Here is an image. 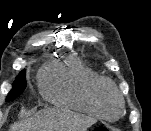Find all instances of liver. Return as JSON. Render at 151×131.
Returning a JSON list of instances; mask_svg holds the SVG:
<instances>
[{"instance_id":"6515ba94","label":"liver","mask_w":151,"mask_h":131,"mask_svg":"<svg viewBox=\"0 0 151 131\" xmlns=\"http://www.w3.org/2000/svg\"><path fill=\"white\" fill-rule=\"evenodd\" d=\"M95 122L94 118L77 112L52 109L14 123L10 131H87Z\"/></svg>"}]
</instances>
